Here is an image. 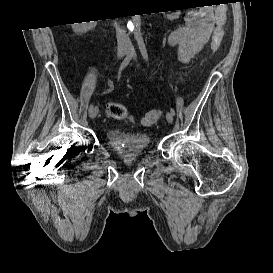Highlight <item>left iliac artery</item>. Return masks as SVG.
<instances>
[{
	"instance_id": "1",
	"label": "left iliac artery",
	"mask_w": 273,
	"mask_h": 273,
	"mask_svg": "<svg viewBox=\"0 0 273 273\" xmlns=\"http://www.w3.org/2000/svg\"><path fill=\"white\" fill-rule=\"evenodd\" d=\"M139 49L145 61H148V54H147V50L143 41L139 42ZM170 112L173 116L175 115V111L173 108H170Z\"/></svg>"
}]
</instances>
